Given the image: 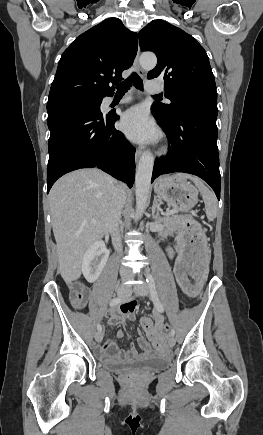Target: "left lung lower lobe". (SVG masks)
Masks as SVG:
<instances>
[{
  "label": "left lung lower lobe",
  "instance_id": "left-lung-lower-lobe-1",
  "mask_svg": "<svg viewBox=\"0 0 263 435\" xmlns=\"http://www.w3.org/2000/svg\"><path fill=\"white\" fill-rule=\"evenodd\" d=\"M153 115L166 133L172 148L166 157L156 159L151 182L160 175L172 172L194 174L212 187L219 200L216 117L205 114H179L172 122H167L154 113Z\"/></svg>",
  "mask_w": 263,
  "mask_h": 435
}]
</instances>
